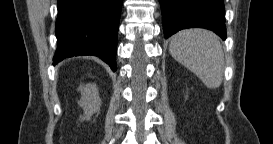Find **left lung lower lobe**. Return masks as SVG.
Segmentation results:
<instances>
[{
    "label": "left lung lower lobe",
    "instance_id": "obj_1",
    "mask_svg": "<svg viewBox=\"0 0 273 144\" xmlns=\"http://www.w3.org/2000/svg\"><path fill=\"white\" fill-rule=\"evenodd\" d=\"M164 37L181 29L206 28L226 39L223 0H160Z\"/></svg>",
    "mask_w": 273,
    "mask_h": 144
}]
</instances>
